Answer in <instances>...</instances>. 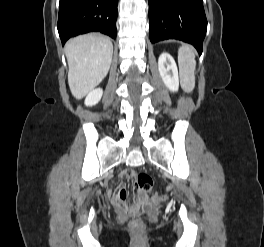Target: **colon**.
I'll use <instances>...</instances> for the list:
<instances>
[{
    "label": "colon",
    "mask_w": 264,
    "mask_h": 247,
    "mask_svg": "<svg viewBox=\"0 0 264 247\" xmlns=\"http://www.w3.org/2000/svg\"><path fill=\"white\" fill-rule=\"evenodd\" d=\"M136 188L143 193H150L153 189V180L151 176L145 172H139L135 177ZM167 196L165 194H155L154 200L158 202H165ZM145 200L139 202H122L118 204L126 215L131 217L130 225L133 229H140L144 224L143 218V204Z\"/></svg>",
    "instance_id": "1"
}]
</instances>
